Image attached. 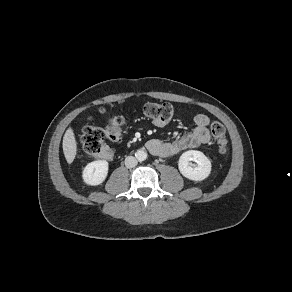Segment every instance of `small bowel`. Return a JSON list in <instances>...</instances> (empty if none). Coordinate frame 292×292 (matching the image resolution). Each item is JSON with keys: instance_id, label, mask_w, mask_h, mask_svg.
<instances>
[{"instance_id": "1", "label": "small bowel", "mask_w": 292, "mask_h": 292, "mask_svg": "<svg viewBox=\"0 0 292 292\" xmlns=\"http://www.w3.org/2000/svg\"><path fill=\"white\" fill-rule=\"evenodd\" d=\"M193 121L194 128L172 142H165L159 139L150 140L147 144L150 152L160 157H169L184 150L207 144L210 141V119L205 114H197L194 116ZM166 123L167 121L154 120V125L157 127H163Z\"/></svg>"}]
</instances>
